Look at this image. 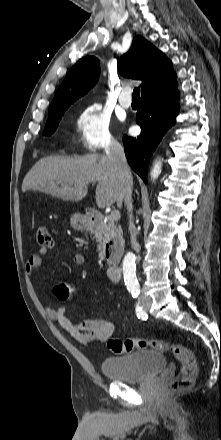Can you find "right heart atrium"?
I'll return each mask as SVG.
<instances>
[{
	"instance_id": "obj_1",
	"label": "right heart atrium",
	"mask_w": 221,
	"mask_h": 440,
	"mask_svg": "<svg viewBox=\"0 0 221 440\" xmlns=\"http://www.w3.org/2000/svg\"><path fill=\"white\" fill-rule=\"evenodd\" d=\"M79 146L87 152H98L114 147L117 142L111 132V120L98 106L84 107L76 118Z\"/></svg>"
}]
</instances>
